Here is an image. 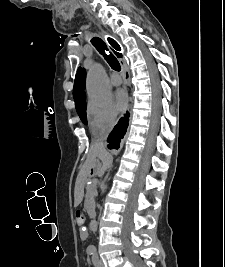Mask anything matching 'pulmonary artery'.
I'll return each mask as SVG.
<instances>
[{
    "label": "pulmonary artery",
    "mask_w": 225,
    "mask_h": 267,
    "mask_svg": "<svg viewBox=\"0 0 225 267\" xmlns=\"http://www.w3.org/2000/svg\"><path fill=\"white\" fill-rule=\"evenodd\" d=\"M111 83L114 86H119L122 83L121 76L118 75V74H116V73L112 74V76H111Z\"/></svg>",
    "instance_id": "e3ab8cb5"
}]
</instances>
